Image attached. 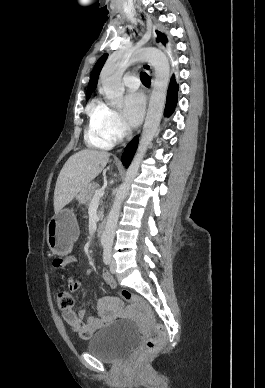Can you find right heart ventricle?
Instances as JSON below:
<instances>
[{"label": "right heart ventricle", "mask_w": 265, "mask_h": 388, "mask_svg": "<svg viewBox=\"0 0 265 388\" xmlns=\"http://www.w3.org/2000/svg\"><path fill=\"white\" fill-rule=\"evenodd\" d=\"M101 103L94 101L89 109L90 122L86 133V140L89 144L102 148H111L114 144V139L107 136L101 127L99 108Z\"/></svg>", "instance_id": "obj_1"}]
</instances>
